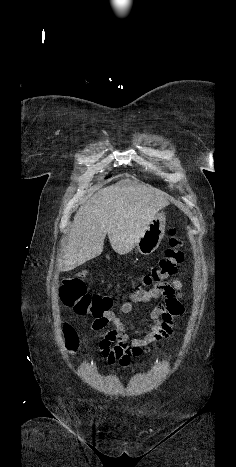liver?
<instances>
[{
  "label": "liver",
  "mask_w": 236,
  "mask_h": 467,
  "mask_svg": "<svg viewBox=\"0 0 236 467\" xmlns=\"http://www.w3.org/2000/svg\"><path fill=\"white\" fill-rule=\"evenodd\" d=\"M168 205L164 193L130 179L99 190L76 212L58 269L70 271L99 256L106 234L116 253L131 252L155 215Z\"/></svg>",
  "instance_id": "liver-1"
}]
</instances>
